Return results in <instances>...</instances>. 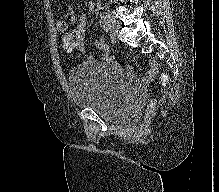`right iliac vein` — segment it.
Instances as JSON below:
<instances>
[{"mask_svg": "<svg viewBox=\"0 0 219 192\" xmlns=\"http://www.w3.org/2000/svg\"><path fill=\"white\" fill-rule=\"evenodd\" d=\"M104 14L111 27L112 32L114 34H117L119 30V23L116 21V19L113 17V15L109 11H105Z\"/></svg>", "mask_w": 219, "mask_h": 192, "instance_id": "obj_1", "label": "right iliac vein"}]
</instances>
